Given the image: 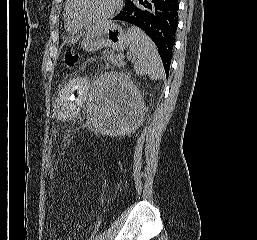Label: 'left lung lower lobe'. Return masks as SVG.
<instances>
[{"mask_svg": "<svg viewBox=\"0 0 257 240\" xmlns=\"http://www.w3.org/2000/svg\"><path fill=\"white\" fill-rule=\"evenodd\" d=\"M178 0H125L113 20L124 21L145 31L159 49L166 76L172 59L178 26Z\"/></svg>", "mask_w": 257, "mask_h": 240, "instance_id": "0a47b994", "label": "left lung lower lobe"}]
</instances>
